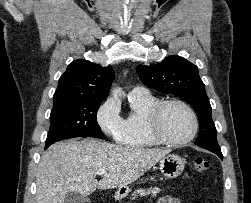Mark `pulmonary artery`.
I'll use <instances>...</instances> for the list:
<instances>
[{"mask_svg": "<svg viewBox=\"0 0 251 203\" xmlns=\"http://www.w3.org/2000/svg\"><path fill=\"white\" fill-rule=\"evenodd\" d=\"M149 95V91L141 86H136L128 93L129 97H145Z\"/></svg>", "mask_w": 251, "mask_h": 203, "instance_id": "1", "label": "pulmonary artery"}]
</instances>
